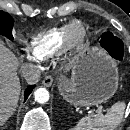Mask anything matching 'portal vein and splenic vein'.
<instances>
[{
    "mask_svg": "<svg viewBox=\"0 0 130 130\" xmlns=\"http://www.w3.org/2000/svg\"><path fill=\"white\" fill-rule=\"evenodd\" d=\"M98 113H102V107H99Z\"/></svg>",
    "mask_w": 130,
    "mask_h": 130,
    "instance_id": "18ae733b",
    "label": "portal vein and splenic vein"
}]
</instances>
